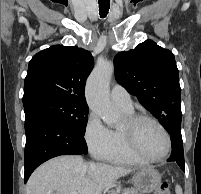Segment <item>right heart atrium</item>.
<instances>
[{"instance_id": "1", "label": "right heart atrium", "mask_w": 201, "mask_h": 194, "mask_svg": "<svg viewBox=\"0 0 201 194\" xmlns=\"http://www.w3.org/2000/svg\"><path fill=\"white\" fill-rule=\"evenodd\" d=\"M84 140L94 157L103 158L113 143L112 130L95 113H90L84 127Z\"/></svg>"}]
</instances>
